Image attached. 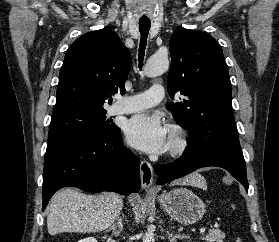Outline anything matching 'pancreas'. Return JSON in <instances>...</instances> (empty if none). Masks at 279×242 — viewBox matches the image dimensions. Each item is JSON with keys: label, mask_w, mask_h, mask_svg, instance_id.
Here are the masks:
<instances>
[{"label": "pancreas", "mask_w": 279, "mask_h": 242, "mask_svg": "<svg viewBox=\"0 0 279 242\" xmlns=\"http://www.w3.org/2000/svg\"><path fill=\"white\" fill-rule=\"evenodd\" d=\"M225 234L222 233L219 229L210 230L207 235L203 237V240L208 242H223Z\"/></svg>", "instance_id": "1"}]
</instances>
